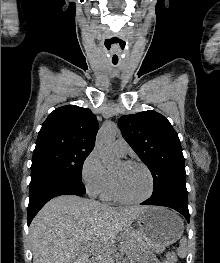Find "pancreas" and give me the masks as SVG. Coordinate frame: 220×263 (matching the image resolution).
<instances>
[{
	"label": "pancreas",
	"mask_w": 220,
	"mask_h": 263,
	"mask_svg": "<svg viewBox=\"0 0 220 263\" xmlns=\"http://www.w3.org/2000/svg\"><path fill=\"white\" fill-rule=\"evenodd\" d=\"M140 235L141 233L137 230H127L123 234V240L121 247L124 250H131L133 248L140 247ZM113 253V249L110 248L102 254L99 259H96L93 263H108V259Z\"/></svg>",
	"instance_id": "pancreas-1"
}]
</instances>
